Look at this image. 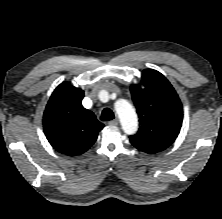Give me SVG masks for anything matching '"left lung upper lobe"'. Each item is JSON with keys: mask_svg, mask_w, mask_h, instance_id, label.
I'll list each match as a JSON object with an SVG mask.
<instances>
[{"mask_svg": "<svg viewBox=\"0 0 222 219\" xmlns=\"http://www.w3.org/2000/svg\"><path fill=\"white\" fill-rule=\"evenodd\" d=\"M131 94L140 122L137 134L130 136L131 143L153 153L166 149L177 138L183 118L174 88L160 72L145 69L141 85H131Z\"/></svg>", "mask_w": 222, "mask_h": 219, "instance_id": "obj_1", "label": "left lung upper lobe"}]
</instances>
